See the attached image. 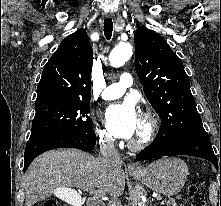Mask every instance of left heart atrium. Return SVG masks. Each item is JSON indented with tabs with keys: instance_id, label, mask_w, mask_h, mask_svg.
<instances>
[{
	"instance_id": "obj_1",
	"label": "left heart atrium",
	"mask_w": 221,
	"mask_h": 206,
	"mask_svg": "<svg viewBox=\"0 0 221 206\" xmlns=\"http://www.w3.org/2000/svg\"><path fill=\"white\" fill-rule=\"evenodd\" d=\"M105 121L110 132L119 138L132 139L140 125V117L131 102L110 105L105 111Z\"/></svg>"
}]
</instances>
